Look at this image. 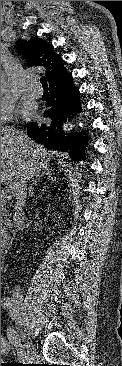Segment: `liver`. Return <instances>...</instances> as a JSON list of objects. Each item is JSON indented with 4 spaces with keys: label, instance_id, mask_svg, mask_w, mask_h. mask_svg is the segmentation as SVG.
<instances>
[{
    "label": "liver",
    "instance_id": "6515ba94",
    "mask_svg": "<svg viewBox=\"0 0 122 366\" xmlns=\"http://www.w3.org/2000/svg\"><path fill=\"white\" fill-rule=\"evenodd\" d=\"M57 155L22 131L1 128V184L14 196L21 177L26 176L28 180L40 177Z\"/></svg>",
    "mask_w": 122,
    "mask_h": 366
}]
</instances>
